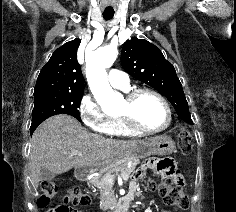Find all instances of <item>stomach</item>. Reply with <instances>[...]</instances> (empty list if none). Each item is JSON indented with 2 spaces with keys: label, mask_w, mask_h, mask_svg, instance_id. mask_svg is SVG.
I'll return each mask as SVG.
<instances>
[{
  "label": "stomach",
  "mask_w": 236,
  "mask_h": 212,
  "mask_svg": "<svg viewBox=\"0 0 236 212\" xmlns=\"http://www.w3.org/2000/svg\"><path fill=\"white\" fill-rule=\"evenodd\" d=\"M174 149L175 144L173 140L166 135H161L151 138L148 141H144L140 145L132 148L129 152L121 157H129L139 161V159L147 158L150 155L171 154ZM114 160H116V158L108 160L106 164L101 166L100 168L111 165Z\"/></svg>",
  "instance_id": "stomach-1"
}]
</instances>
